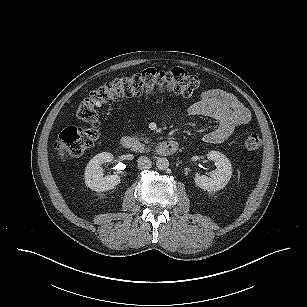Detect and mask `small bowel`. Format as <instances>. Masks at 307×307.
Segmentation results:
<instances>
[{
    "label": "small bowel",
    "mask_w": 307,
    "mask_h": 307,
    "mask_svg": "<svg viewBox=\"0 0 307 307\" xmlns=\"http://www.w3.org/2000/svg\"><path fill=\"white\" fill-rule=\"evenodd\" d=\"M191 116H203L215 122V127L203 136L206 143L225 141L238 127L250 121L251 114L233 94L221 89L203 90L188 108Z\"/></svg>",
    "instance_id": "c3829d8e"
}]
</instances>
